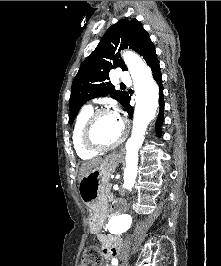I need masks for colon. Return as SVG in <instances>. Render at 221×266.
Here are the masks:
<instances>
[{
  "label": "colon",
  "instance_id": "obj_1",
  "mask_svg": "<svg viewBox=\"0 0 221 266\" xmlns=\"http://www.w3.org/2000/svg\"><path fill=\"white\" fill-rule=\"evenodd\" d=\"M101 262V253L97 246L91 245L84 250L81 266H100Z\"/></svg>",
  "mask_w": 221,
  "mask_h": 266
}]
</instances>
